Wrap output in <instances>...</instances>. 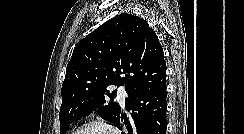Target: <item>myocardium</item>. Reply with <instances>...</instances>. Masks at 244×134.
<instances>
[{
	"instance_id": "myocardium-1",
	"label": "myocardium",
	"mask_w": 244,
	"mask_h": 134,
	"mask_svg": "<svg viewBox=\"0 0 244 134\" xmlns=\"http://www.w3.org/2000/svg\"><path fill=\"white\" fill-rule=\"evenodd\" d=\"M89 127H98L106 131L108 134H117L115 128L111 124L103 120H90L84 122L81 125H79L72 134H79L82 130Z\"/></svg>"
}]
</instances>
